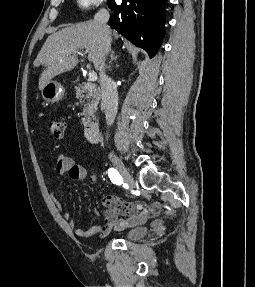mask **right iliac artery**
I'll list each match as a JSON object with an SVG mask.
<instances>
[{
  "mask_svg": "<svg viewBox=\"0 0 255 287\" xmlns=\"http://www.w3.org/2000/svg\"><path fill=\"white\" fill-rule=\"evenodd\" d=\"M108 176L113 184L121 185L123 183L122 177L115 168L108 169Z\"/></svg>",
  "mask_w": 255,
  "mask_h": 287,
  "instance_id": "1",
  "label": "right iliac artery"
}]
</instances>
